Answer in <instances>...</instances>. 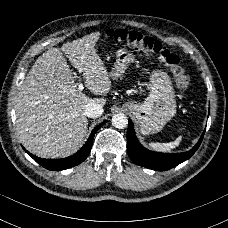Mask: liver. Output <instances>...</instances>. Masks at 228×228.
<instances>
[{"label": "liver", "mask_w": 228, "mask_h": 228, "mask_svg": "<svg viewBox=\"0 0 228 228\" xmlns=\"http://www.w3.org/2000/svg\"><path fill=\"white\" fill-rule=\"evenodd\" d=\"M100 32L67 43L63 52L86 81L87 89L105 96L112 88L110 72L96 46ZM89 101L104 106L105 99H90L82 90L60 49L41 55L22 82L17 96L18 135L31 153L46 158L64 157L78 150L86 138Z\"/></svg>", "instance_id": "1"}]
</instances>
